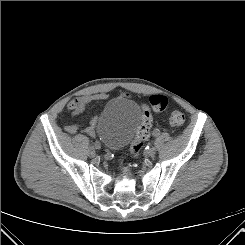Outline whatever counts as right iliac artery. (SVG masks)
I'll return each instance as SVG.
<instances>
[{
	"label": "right iliac artery",
	"mask_w": 245,
	"mask_h": 245,
	"mask_svg": "<svg viewBox=\"0 0 245 245\" xmlns=\"http://www.w3.org/2000/svg\"><path fill=\"white\" fill-rule=\"evenodd\" d=\"M93 147H94L95 150L98 151V150L101 149L102 146H101V144L99 142H96Z\"/></svg>",
	"instance_id": "82829eb1"
}]
</instances>
